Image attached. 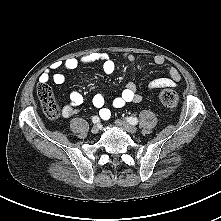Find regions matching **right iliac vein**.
I'll use <instances>...</instances> for the list:
<instances>
[{
    "instance_id": "right-iliac-vein-1",
    "label": "right iliac vein",
    "mask_w": 221,
    "mask_h": 221,
    "mask_svg": "<svg viewBox=\"0 0 221 221\" xmlns=\"http://www.w3.org/2000/svg\"><path fill=\"white\" fill-rule=\"evenodd\" d=\"M99 126L98 125H94L93 127H92V129H91V132L93 133V134H97V133H99Z\"/></svg>"
}]
</instances>
